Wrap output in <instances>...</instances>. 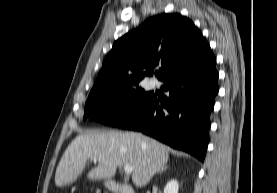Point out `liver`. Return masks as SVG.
Here are the masks:
<instances>
[{"instance_id":"6515ba94","label":"liver","mask_w":277,"mask_h":193,"mask_svg":"<svg viewBox=\"0 0 277 193\" xmlns=\"http://www.w3.org/2000/svg\"><path fill=\"white\" fill-rule=\"evenodd\" d=\"M88 159L98 162L89 171V179H110L118 166H131L133 183L144 187L167 164L169 151L164 144L141 133L91 130L77 136L65 150L56 169V186L76 180Z\"/></svg>"}]
</instances>
